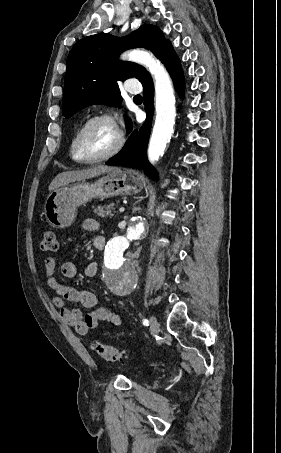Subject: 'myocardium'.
<instances>
[{"instance_id":"obj_1","label":"myocardium","mask_w":281,"mask_h":453,"mask_svg":"<svg viewBox=\"0 0 281 453\" xmlns=\"http://www.w3.org/2000/svg\"><path fill=\"white\" fill-rule=\"evenodd\" d=\"M96 122H106V123H109L112 126H114L118 132V141L106 153L99 155L97 157L91 158V159H83L79 155L80 140H81L82 136L84 135L85 131L87 130V128ZM125 140H126V137H125V133H124L123 129L120 127V125L116 122V120L111 115H109V114L94 115V116L90 117L89 119H87L85 122H83V124L79 127V129L75 133L74 138H73V148H72L73 157L76 161L83 163V164L99 163V162L108 160V159L112 158L113 156L117 155L123 148V146L125 144Z\"/></svg>"}]
</instances>
